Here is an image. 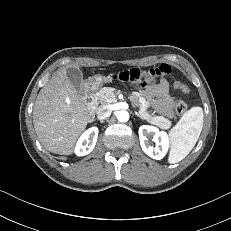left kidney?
Here are the masks:
<instances>
[{
  "label": "left kidney",
  "mask_w": 231,
  "mask_h": 231,
  "mask_svg": "<svg viewBox=\"0 0 231 231\" xmlns=\"http://www.w3.org/2000/svg\"><path fill=\"white\" fill-rule=\"evenodd\" d=\"M138 133L141 148L149 157L160 160L167 154L170 140L166 132L159 131L154 126L142 125ZM150 136H153L152 140L155 142V147L149 144L148 137Z\"/></svg>",
  "instance_id": "1"
}]
</instances>
